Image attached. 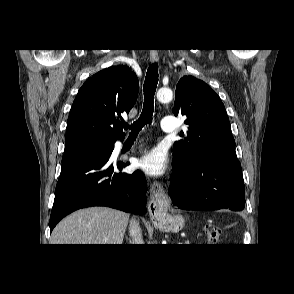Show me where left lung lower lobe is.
<instances>
[{
    "label": "left lung lower lobe",
    "instance_id": "1",
    "mask_svg": "<svg viewBox=\"0 0 294 294\" xmlns=\"http://www.w3.org/2000/svg\"><path fill=\"white\" fill-rule=\"evenodd\" d=\"M169 196L173 205L184 210H243L245 188L241 164L220 157L184 163L173 157Z\"/></svg>",
    "mask_w": 294,
    "mask_h": 294
}]
</instances>
